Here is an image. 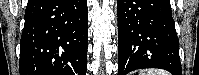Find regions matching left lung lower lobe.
I'll list each match as a JSON object with an SVG mask.
<instances>
[{
	"instance_id": "left-lung-lower-lobe-1",
	"label": "left lung lower lobe",
	"mask_w": 199,
	"mask_h": 75,
	"mask_svg": "<svg viewBox=\"0 0 199 75\" xmlns=\"http://www.w3.org/2000/svg\"><path fill=\"white\" fill-rule=\"evenodd\" d=\"M118 75L161 68L181 75L179 40L169 0H117Z\"/></svg>"
}]
</instances>
